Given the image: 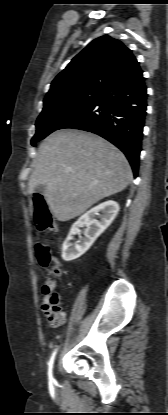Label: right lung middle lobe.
<instances>
[{"label":"right lung middle lobe","instance_id":"1","mask_svg":"<svg viewBox=\"0 0 168 415\" xmlns=\"http://www.w3.org/2000/svg\"><path fill=\"white\" fill-rule=\"evenodd\" d=\"M102 92L103 90H79L45 101L36 121V134L31 144L35 146L36 142L58 130L66 121L95 101Z\"/></svg>","mask_w":168,"mask_h":415}]
</instances>
